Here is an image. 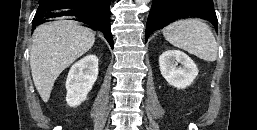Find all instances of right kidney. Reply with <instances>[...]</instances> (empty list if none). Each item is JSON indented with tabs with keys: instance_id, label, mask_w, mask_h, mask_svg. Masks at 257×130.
<instances>
[{
	"instance_id": "obj_1",
	"label": "right kidney",
	"mask_w": 257,
	"mask_h": 130,
	"mask_svg": "<svg viewBox=\"0 0 257 130\" xmlns=\"http://www.w3.org/2000/svg\"><path fill=\"white\" fill-rule=\"evenodd\" d=\"M98 77V58L90 54L76 62L66 79V102L70 107L79 106L86 100Z\"/></svg>"
}]
</instances>
